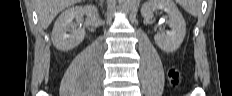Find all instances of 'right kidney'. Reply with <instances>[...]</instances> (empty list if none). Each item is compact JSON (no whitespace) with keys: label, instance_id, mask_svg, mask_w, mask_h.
<instances>
[{"label":"right kidney","instance_id":"1","mask_svg":"<svg viewBox=\"0 0 232 96\" xmlns=\"http://www.w3.org/2000/svg\"><path fill=\"white\" fill-rule=\"evenodd\" d=\"M86 15V26H92L98 19V11L95 6H75L61 13L54 24L52 31L53 45L62 51H68L78 46L84 39L85 31L72 27L73 19L81 20ZM70 32V34H67Z\"/></svg>","mask_w":232,"mask_h":96}]
</instances>
